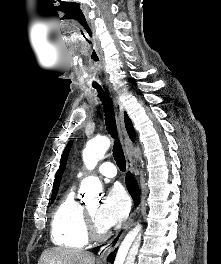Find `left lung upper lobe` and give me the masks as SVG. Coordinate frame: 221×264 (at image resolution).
<instances>
[{
    "mask_svg": "<svg viewBox=\"0 0 221 264\" xmlns=\"http://www.w3.org/2000/svg\"><path fill=\"white\" fill-rule=\"evenodd\" d=\"M72 141H70L64 152H63V155H62V159H61V162H60V167L56 173V176H55V180H54V185H53V192H52V201L55 199L56 195H57V192H58V188H59V184H60V180H61V177H62V174L64 172V169H65V166H66V163H67V157H68V154H69V151L71 149V146H72Z\"/></svg>",
    "mask_w": 221,
    "mask_h": 264,
    "instance_id": "obj_1",
    "label": "left lung upper lobe"
}]
</instances>
